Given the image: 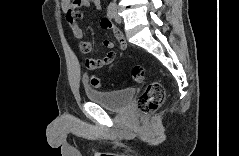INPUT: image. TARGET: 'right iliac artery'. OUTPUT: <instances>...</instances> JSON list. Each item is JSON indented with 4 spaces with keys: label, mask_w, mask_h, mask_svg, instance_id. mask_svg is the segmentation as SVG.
<instances>
[{
    "label": "right iliac artery",
    "mask_w": 239,
    "mask_h": 156,
    "mask_svg": "<svg viewBox=\"0 0 239 156\" xmlns=\"http://www.w3.org/2000/svg\"><path fill=\"white\" fill-rule=\"evenodd\" d=\"M115 9H116L115 4L114 3H110L108 8H107V16L110 19H113L115 17Z\"/></svg>",
    "instance_id": "obj_1"
}]
</instances>
